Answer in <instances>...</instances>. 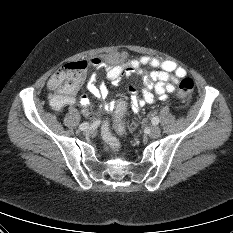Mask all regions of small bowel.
I'll return each instance as SVG.
<instances>
[{
  "label": "small bowel",
  "mask_w": 233,
  "mask_h": 233,
  "mask_svg": "<svg viewBox=\"0 0 233 233\" xmlns=\"http://www.w3.org/2000/svg\"><path fill=\"white\" fill-rule=\"evenodd\" d=\"M89 65L105 70L107 78L112 84H117L123 76L138 75L141 78L143 82L141 94L133 86L128 88L133 110H138L157 99H166L175 90L179 79L186 75V70L174 61L161 60L150 56L128 60L126 55L120 52L108 54L103 58H93L89 61ZM145 66H150L154 70L147 73L143 71ZM47 86L53 91L49 95L48 101L54 111L60 112L65 107L79 102L83 106V114H88V107L91 104L90 99L85 94L77 96L81 86L75 91L67 92L55 86L53 75L49 78ZM87 89L97 99L105 100L108 97L109 91L106 85L103 83L96 84L94 78L88 81ZM114 104L115 102H110L106 106L112 108Z\"/></svg>",
  "instance_id": "obj_1"
}]
</instances>
